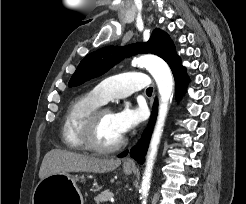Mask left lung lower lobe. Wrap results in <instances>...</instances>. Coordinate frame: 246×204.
<instances>
[{
    "mask_svg": "<svg viewBox=\"0 0 246 204\" xmlns=\"http://www.w3.org/2000/svg\"><path fill=\"white\" fill-rule=\"evenodd\" d=\"M171 70L173 72V75L176 81L177 96H181L185 91L186 84L188 83V77L185 73V68L181 64L180 58H178L174 62V64L171 66ZM157 103H158L157 100H155L154 105H153L152 119L149 123L148 128L143 133L142 139L140 140L138 145L133 147L132 150L130 151L131 157L137 160L140 164L144 162V155L146 154V151L148 148L149 139H150L154 121L157 115ZM127 153L128 151H125L122 154H120L119 157H124L127 155Z\"/></svg>",
    "mask_w": 246,
    "mask_h": 204,
    "instance_id": "1",
    "label": "left lung lower lobe"
}]
</instances>
